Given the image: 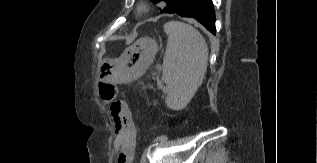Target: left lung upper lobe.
<instances>
[{
  "mask_svg": "<svg viewBox=\"0 0 317 163\" xmlns=\"http://www.w3.org/2000/svg\"><path fill=\"white\" fill-rule=\"evenodd\" d=\"M154 3L165 1L167 6L164 7L160 12H167V13H174L176 9L178 8L179 4L183 0H151Z\"/></svg>",
  "mask_w": 317,
  "mask_h": 163,
  "instance_id": "obj_1",
  "label": "left lung upper lobe"
}]
</instances>
